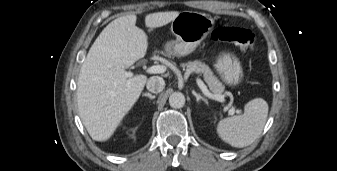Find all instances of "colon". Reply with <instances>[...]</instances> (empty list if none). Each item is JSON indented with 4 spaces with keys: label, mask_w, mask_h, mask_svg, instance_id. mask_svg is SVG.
Segmentation results:
<instances>
[{
    "label": "colon",
    "mask_w": 337,
    "mask_h": 171,
    "mask_svg": "<svg viewBox=\"0 0 337 171\" xmlns=\"http://www.w3.org/2000/svg\"><path fill=\"white\" fill-rule=\"evenodd\" d=\"M211 38L214 41L234 44L247 53L253 49L254 35L246 28L224 26L213 31Z\"/></svg>",
    "instance_id": "1"
}]
</instances>
